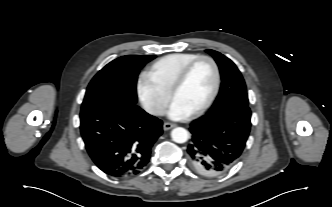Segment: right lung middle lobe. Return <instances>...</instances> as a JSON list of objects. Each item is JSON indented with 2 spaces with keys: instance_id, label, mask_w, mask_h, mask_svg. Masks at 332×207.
Listing matches in <instances>:
<instances>
[{
  "instance_id": "right-lung-middle-lobe-1",
  "label": "right lung middle lobe",
  "mask_w": 332,
  "mask_h": 207,
  "mask_svg": "<svg viewBox=\"0 0 332 207\" xmlns=\"http://www.w3.org/2000/svg\"><path fill=\"white\" fill-rule=\"evenodd\" d=\"M154 58L153 55H127L107 64L89 83L81 109L110 102L136 105L138 74Z\"/></svg>"
}]
</instances>
